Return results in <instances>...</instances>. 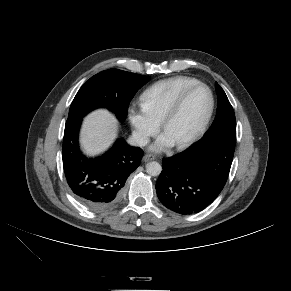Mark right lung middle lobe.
I'll use <instances>...</instances> for the list:
<instances>
[{"label": "right lung middle lobe", "mask_w": 291, "mask_h": 291, "mask_svg": "<svg viewBox=\"0 0 291 291\" xmlns=\"http://www.w3.org/2000/svg\"><path fill=\"white\" fill-rule=\"evenodd\" d=\"M150 78L118 69L96 74L76 94L68 119L83 117L95 108L106 107L112 110L120 121H124L131 99Z\"/></svg>", "instance_id": "obj_1"}]
</instances>
